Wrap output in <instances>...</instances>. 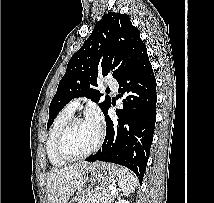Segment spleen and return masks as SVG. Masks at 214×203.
I'll use <instances>...</instances> for the list:
<instances>
[{
  "mask_svg": "<svg viewBox=\"0 0 214 203\" xmlns=\"http://www.w3.org/2000/svg\"><path fill=\"white\" fill-rule=\"evenodd\" d=\"M117 176L118 185L124 194L134 192L137 187L138 180L132 172L127 168H119Z\"/></svg>",
  "mask_w": 214,
  "mask_h": 203,
  "instance_id": "spleen-1",
  "label": "spleen"
}]
</instances>
